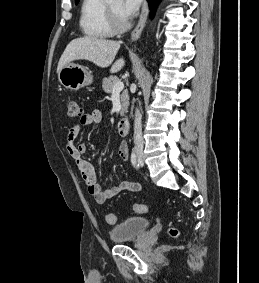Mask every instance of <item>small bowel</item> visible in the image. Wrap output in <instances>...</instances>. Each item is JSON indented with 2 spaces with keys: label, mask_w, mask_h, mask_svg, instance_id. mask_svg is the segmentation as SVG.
<instances>
[{
  "label": "small bowel",
  "mask_w": 259,
  "mask_h": 283,
  "mask_svg": "<svg viewBox=\"0 0 259 283\" xmlns=\"http://www.w3.org/2000/svg\"><path fill=\"white\" fill-rule=\"evenodd\" d=\"M102 120V113L99 109H94L81 117L79 122L73 125L67 135L66 150L70 158L76 163L79 174L84 181L88 193L94 197L96 202L102 204L107 200L114 198L123 191L137 192L141 190V185L136 182L121 181L117 185L102 189L97 183L96 174L90 161L85 160L82 156L86 152V144H75L74 141L78 137L81 127L99 124ZM117 155L123 159L128 160L129 153L125 141L119 143Z\"/></svg>",
  "instance_id": "obj_1"
}]
</instances>
